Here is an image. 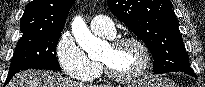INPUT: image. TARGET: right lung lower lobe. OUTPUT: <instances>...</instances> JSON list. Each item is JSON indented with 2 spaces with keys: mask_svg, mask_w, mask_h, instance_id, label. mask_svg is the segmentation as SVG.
Here are the masks:
<instances>
[{
  "mask_svg": "<svg viewBox=\"0 0 205 87\" xmlns=\"http://www.w3.org/2000/svg\"><path fill=\"white\" fill-rule=\"evenodd\" d=\"M15 73H16V72H14V73H12V74H8V77H7V79H6L5 84H7V83L10 81V79L14 76Z\"/></svg>",
  "mask_w": 205,
  "mask_h": 87,
  "instance_id": "1",
  "label": "right lung lower lobe"
}]
</instances>
